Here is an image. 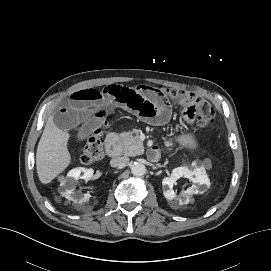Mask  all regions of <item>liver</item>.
<instances>
[{"instance_id": "1", "label": "liver", "mask_w": 271, "mask_h": 271, "mask_svg": "<svg viewBox=\"0 0 271 271\" xmlns=\"http://www.w3.org/2000/svg\"><path fill=\"white\" fill-rule=\"evenodd\" d=\"M67 142L68 134L55 125L53 115H51L36 152V169L41 183H50L69 166L71 155Z\"/></svg>"}]
</instances>
